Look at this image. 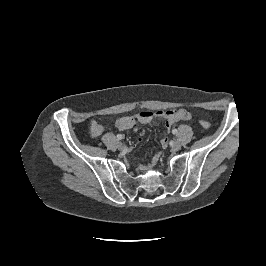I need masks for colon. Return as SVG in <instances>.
I'll return each mask as SVG.
<instances>
[{"mask_svg":"<svg viewBox=\"0 0 266 266\" xmlns=\"http://www.w3.org/2000/svg\"><path fill=\"white\" fill-rule=\"evenodd\" d=\"M199 124L204 129H208L210 127V123L208 121H206V120H200Z\"/></svg>","mask_w":266,"mask_h":266,"instance_id":"1","label":"colon"}]
</instances>
